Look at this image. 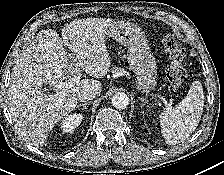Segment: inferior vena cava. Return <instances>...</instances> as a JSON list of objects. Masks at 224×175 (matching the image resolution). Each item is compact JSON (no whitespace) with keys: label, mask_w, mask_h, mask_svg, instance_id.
<instances>
[{"label":"inferior vena cava","mask_w":224,"mask_h":175,"mask_svg":"<svg viewBox=\"0 0 224 175\" xmlns=\"http://www.w3.org/2000/svg\"><path fill=\"white\" fill-rule=\"evenodd\" d=\"M96 95H97V92L94 90L82 91L78 95V100L80 102H87V101L93 100L96 97Z\"/></svg>","instance_id":"obj_1"}]
</instances>
